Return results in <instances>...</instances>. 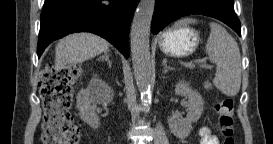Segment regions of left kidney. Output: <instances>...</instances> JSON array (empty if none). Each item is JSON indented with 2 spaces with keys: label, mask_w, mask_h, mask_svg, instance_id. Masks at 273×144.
<instances>
[{
  "label": "left kidney",
  "mask_w": 273,
  "mask_h": 144,
  "mask_svg": "<svg viewBox=\"0 0 273 144\" xmlns=\"http://www.w3.org/2000/svg\"><path fill=\"white\" fill-rule=\"evenodd\" d=\"M175 94L188 97V113L186 118L171 117L169 127L171 132L179 139H185L192 131V123H195L201 117L204 109L202 96L195 90H192L185 81H180L175 86Z\"/></svg>",
  "instance_id": "obj_1"
}]
</instances>
